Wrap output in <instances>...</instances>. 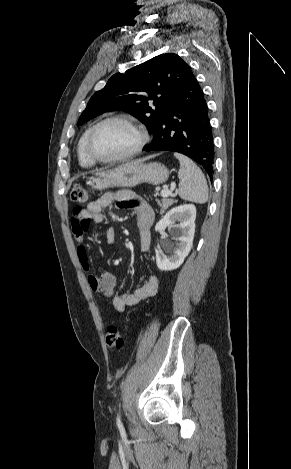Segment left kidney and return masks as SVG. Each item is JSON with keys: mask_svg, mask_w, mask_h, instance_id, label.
Instances as JSON below:
<instances>
[{"mask_svg": "<svg viewBox=\"0 0 291 469\" xmlns=\"http://www.w3.org/2000/svg\"><path fill=\"white\" fill-rule=\"evenodd\" d=\"M196 208L193 204H184L172 208L166 215L156 224L155 230L162 232L167 226L178 228L176 233L177 246L172 248L166 244L165 249L170 251L169 256L165 255L161 248H155L156 264L162 271H170L177 269L189 254L195 233ZM178 221L179 224H175Z\"/></svg>", "mask_w": 291, "mask_h": 469, "instance_id": "1", "label": "left kidney"}]
</instances>
